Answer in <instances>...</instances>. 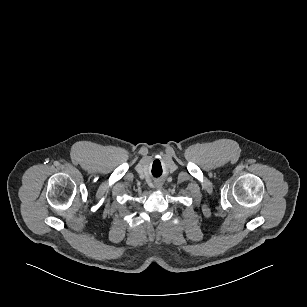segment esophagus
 Here are the masks:
<instances>
[{"label": "esophagus", "mask_w": 307, "mask_h": 307, "mask_svg": "<svg viewBox=\"0 0 307 307\" xmlns=\"http://www.w3.org/2000/svg\"><path fill=\"white\" fill-rule=\"evenodd\" d=\"M154 188L157 189V190H160L162 188V183L161 182H156L154 184Z\"/></svg>", "instance_id": "obj_1"}]
</instances>
